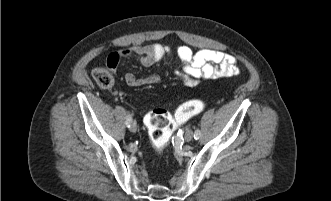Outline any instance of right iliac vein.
Masks as SVG:
<instances>
[{
	"label": "right iliac vein",
	"instance_id": "right-iliac-vein-1",
	"mask_svg": "<svg viewBox=\"0 0 331 201\" xmlns=\"http://www.w3.org/2000/svg\"><path fill=\"white\" fill-rule=\"evenodd\" d=\"M129 129L131 132H134V133L137 131V124L135 121H131Z\"/></svg>",
	"mask_w": 331,
	"mask_h": 201
}]
</instances>
